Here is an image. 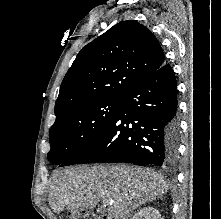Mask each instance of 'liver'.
<instances>
[{
    "instance_id": "6515ba94",
    "label": "liver",
    "mask_w": 221,
    "mask_h": 219,
    "mask_svg": "<svg viewBox=\"0 0 221 219\" xmlns=\"http://www.w3.org/2000/svg\"><path fill=\"white\" fill-rule=\"evenodd\" d=\"M167 190L163 176L146 168L78 166L53 174L49 197L57 213L65 208L92 209L102 201L107 219H128L134 210L162 197Z\"/></svg>"
}]
</instances>
